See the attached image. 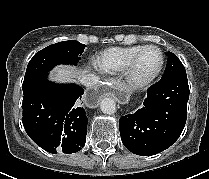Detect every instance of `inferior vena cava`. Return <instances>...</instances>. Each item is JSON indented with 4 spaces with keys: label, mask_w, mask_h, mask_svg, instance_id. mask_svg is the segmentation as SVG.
<instances>
[{
    "label": "inferior vena cava",
    "mask_w": 209,
    "mask_h": 179,
    "mask_svg": "<svg viewBox=\"0 0 209 179\" xmlns=\"http://www.w3.org/2000/svg\"><path fill=\"white\" fill-rule=\"evenodd\" d=\"M99 82V77L94 74H87L84 75L80 79V83L84 85L85 87H93Z\"/></svg>",
    "instance_id": "obj_1"
}]
</instances>
